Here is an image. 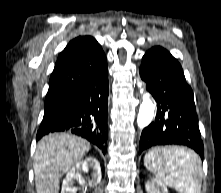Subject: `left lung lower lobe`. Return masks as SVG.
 <instances>
[{
  "mask_svg": "<svg viewBox=\"0 0 221 193\" xmlns=\"http://www.w3.org/2000/svg\"><path fill=\"white\" fill-rule=\"evenodd\" d=\"M140 76L157 102V115L142 131L139 153L157 145H183L204 157L193 91L178 61L164 48H151L142 58ZM175 126H170V113Z\"/></svg>",
  "mask_w": 221,
  "mask_h": 193,
  "instance_id": "obj_1",
  "label": "left lung lower lobe"
}]
</instances>
